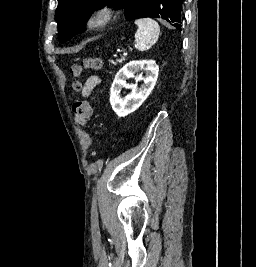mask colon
Segmentation results:
<instances>
[{
  "label": "colon",
  "instance_id": "obj_1",
  "mask_svg": "<svg viewBox=\"0 0 256 267\" xmlns=\"http://www.w3.org/2000/svg\"><path fill=\"white\" fill-rule=\"evenodd\" d=\"M102 62L96 57H87L81 61H75L69 66V74L73 78L72 88L75 91H80L83 87L80 80L85 70H98L100 69ZM93 100L87 98L85 100H78L72 104V113L75 121L80 125L84 126L92 117L94 106Z\"/></svg>",
  "mask_w": 256,
  "mask_h": 267
}]
</instances>
